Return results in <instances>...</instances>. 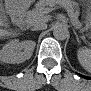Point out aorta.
I'll return each mask as SVG.
<instances>
[{
  "label": "aorta",
  "mask_w": 91,
  "mask_h": 91,
  "mask_svg": "<svg viewBox=\"0 0 91 91\" xmlns=\"http://www.w3.org/2000/svg\"><path fill=\"white\" fill-rule=\"evenodd\" d=\"M53 35L57 40H65L68 37V29L60 23L55 24L53 27Z\"/></svg>",
  "instance_id": "1"
}]
</instances>
